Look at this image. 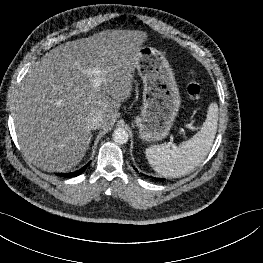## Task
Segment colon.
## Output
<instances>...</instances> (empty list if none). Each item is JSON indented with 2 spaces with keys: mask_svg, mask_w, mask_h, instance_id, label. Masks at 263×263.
<instances>
[{
  "mask_svg": "<svg viewBox=\"0 0 263 263\" xmlns=\"http://www.w3.org/2000/svg\"><path fill=\"white\" fill-rule=\"evenodd\" d=\"M186 91L188 97L194 102H197L201 97V87L193 77L189 82Z\"/></svg>",
  "mask_w": 263,
  "mask_h": 263,
  "instance_id": "1",
  "label": "colon"
}]
</instances>
